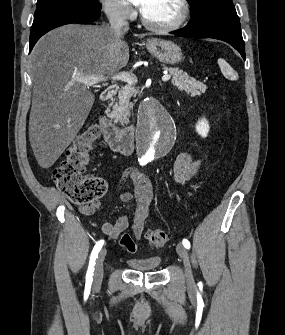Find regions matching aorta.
Here are the masks:
<instances>
[{"mask_svg":"<svg viewBox=\"0 0 285 335\" xmlns=\"http://www.w3.org/2000/svg\"><path fill=\"white\" fill-rule=\"evenodd\" d=\"M139 112L140 125L133 127V134L138 137L141 156L143 160H162L172 147H176L177 119H171V112H166L163 100H156L154 95L149 100H140Z\"/></svg>","mask_w":285,"mask_h":335,"instance_id":"obj_1","label":"aorta"}]
</instances>
